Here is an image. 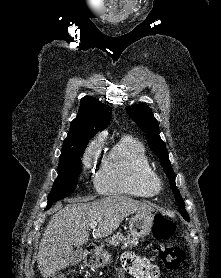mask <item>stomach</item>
<instances>
[{
	"mask_svg": "<svg viewBox=\"0 0 221 278\" xmlns=\"http://www.w3.org/2000/svg\"><path fill=\"white\" fill-rule=\"evenodd\" d=\"M154 224L151 213H137L130 221L129 231L133 237L143 238L150 234ZM111 262V255L106 251H98L89 260L92 267H103Z\"/></svg>",
	"mask_w": 221,
	"mask_h": 278,
	"instance_id": "obj_1",
	"label": "stomach"
}]
</instances>
